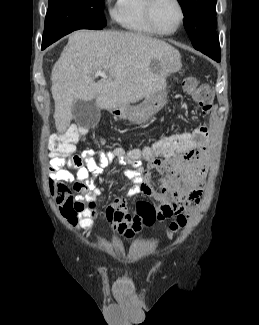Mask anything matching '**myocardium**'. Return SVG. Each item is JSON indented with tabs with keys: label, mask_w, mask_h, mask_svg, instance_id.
<instances>
[{
	"label": "myocardium",
	"mask_w": 259,
	"mask_h": 325,
	"mask_svg": "<svg viewBox=\"0 0 259 325\" xmlns=\"http://www.w3.org/2000/svg\"><path fill=\"white\" fill-rule=\"evenodd\" d=\"M173 1L176 3V5L179 9V20H178L176 27L172 31L164 32V31H161L156 26L154 18H153V9H154V6H155V3L157 2V0H145V8H144L145 18H146V21L149 24V26L154 30V32L156 34H159L162 36H170V35H173L174 33H176L179 30V28L182 26L184 19H185L184 6L180 0H173Z\"/></svg>",
	"instance_id": "myocardium-1"
}]
</instances>
